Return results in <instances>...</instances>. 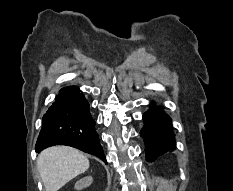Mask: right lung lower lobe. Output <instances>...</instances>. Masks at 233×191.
Instances as JSON below:
<instances>
[{"label": "right lung lower lobe", "instance_id": "1", "mask_svg": "<svg viewBox=\"0 0 233 191\" xmlns=\"http://www.w3.org/2000/svg\"><path fill=\"white\" fill-rule=\"evenodd\" d=\"M94 127L95 121L90 115L89 103L79 88L64 87L43 116L36 152L39 153L49 146L68 145L94 154L107 164Z\"/></svg>", "mask_w": 233, "mask_h": 191}]
</instances>
